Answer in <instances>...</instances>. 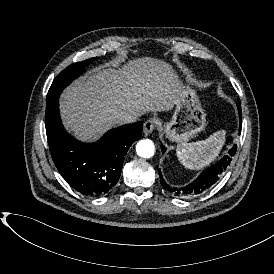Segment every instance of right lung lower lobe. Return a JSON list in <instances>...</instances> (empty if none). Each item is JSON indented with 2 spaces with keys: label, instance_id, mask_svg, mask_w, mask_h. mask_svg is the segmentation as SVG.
Masks as SVG:
<instances>
[{
  "label": "right lung lower lobe",
  "instance_id": "obj_1",
  "mask_svg": "<svg viewBox=\"0 0 274 274\" xmlns=\"http://www.w3.org/2000/svg\"><path fill=\"white\" fill-rule=\"evenodd\" d=\"M59 96L47 100L45 125L50 153L59 173L81 194L99 197L118 182L125 155L141 138L142 122L108 131L100 141L82 143L64 129L59 114Z\"/></svg>",
  "mask_w": 274,
  "mask_h": 274
}]
</instances>
